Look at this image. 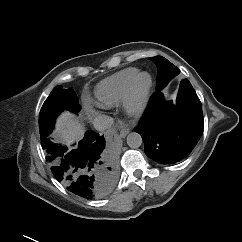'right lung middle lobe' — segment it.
I'll use <instances>...</instances> for the list:
<instances>
[{
    "instance_id": "right-lung-middle-lobe-1",
    "label": "right lung middle lobe",
    "mask_w": 242,
    "mask_h": 242,
    "mask_svg": "<svg viewBox=\"0 0 242 242\" xmlns=\"http://www.w3.org/2000/svg\"><path fill=\"white\" fill-rule=\"evenodd\" d=\"M81 107L78 104V98L72 88L62 89L57 86L50 93L44 102L39 115V130L41 141L47 138L52 131L56 116L63 110L76 112Z\"/></svg>"
}]
</instances>
